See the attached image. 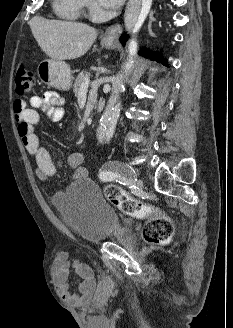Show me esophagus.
<instances>
[{
	"mask_svg": "<svg viewBox=\"0 0 233 328\" xmlns=\"http://www.w3.org/2000/svg\"><path fill=\"white\" fill-rule=\"evenodd\" d=\"M120 33H121V25L119 23H116L106 28L103 36L105 39L115 40L118 38Z\"/></svg>",
	"mask_w": 233,
	"mask_h": 328,
	"instance_id": "obj_1",
	"label": "esophagus"
}]
</instances>
